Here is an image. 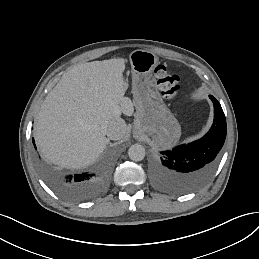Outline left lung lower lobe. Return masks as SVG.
<instances>
[{
	"instance_id": "0a47b994",
	"label": "left lung lower lobe",
	"mask_w": 259,
	"mask_h": 259,
	"mask_svg": "<svg viewBox=\"0 0 259 259\" xmlns=\"http://www.w3.org/2000/svg\"><path fill=\"white\" fill-rule=\"evenodd\" d=\"M214 104V121L200 139L161 152L152 165L153 179L170 192H185L203 183L215 170L224 144L227 126L220 103Z\"/></svg>"
}]
</instances>
